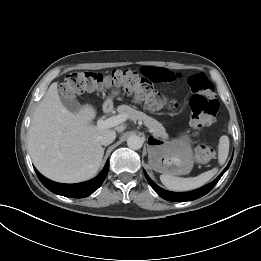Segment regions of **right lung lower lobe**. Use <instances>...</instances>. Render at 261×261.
Returning <instances> with one entry per match:
<instances>
[{"instance_id":"obj_1","label":"right lung lower lobe","mask_w":261,"mask_h":261,"mask_svg":"<svg viewBox=\"0 0 261 261\" xmlns=\"http://www.w3.org/2000/svg\"><path fill=\"white\" fill-rule=\"evenodd\" d=\"M108 169H109V161H107L104 169L97 177H95L90 181L78 183V184L56 183L41 175L36 169L35 172L39 180L41 181V183L51 192L65 197L83 198L89 196L101 186V184L106 178Z\"/></svg>"}]
</instances>
